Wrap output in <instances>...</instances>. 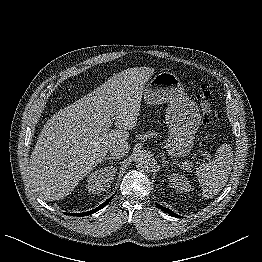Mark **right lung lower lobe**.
<instances>
[{
    "mask_svg": "<svg viewBox=\"0 0 262 262\" xmlns=\"http://www.w3.org/2000/svg\"><path fill=\"white\" fill-rule=\"evenodd\" d=\"M112 197L109 198L106 202H104L103 204H101L99 207L91 210V211H88V212H83V213H65L67 215H71V216H87V215H90V214H93L95 212H97L98 210L102 209L106 204H108L110 201H111Z\"/></svg>",
    "mask_w": 262,
    "mask_h": 262,
    "instance_id": "98d812e1",
    "label": "right lung lower lobe"
}]
</instances>
